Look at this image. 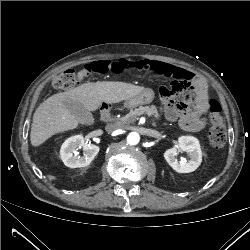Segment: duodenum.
Wrapping results in <instances>:
<instances>
[{
  "mask_svg": "<svg viewBox=\"0 0 250 250\" xmlns=\"http://www.w3.org/2000/svg\"><path fill=\"white\" fill-rule=\"evenodd\" d=\"M109 118H110L109 111L106 108H103L101 110V119L104 121H107V120H109Z\"/></svg>",
  "mask_w": 250,
  "mask_h": 250,
  "instance_id": "duodenum-1",
  "label": "duodenum"
}]
</instances>
